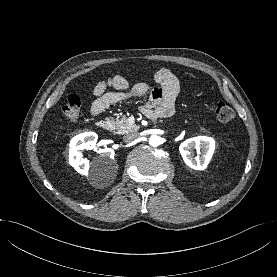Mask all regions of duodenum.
I'll use <instances>...</instances> for the list:
<instances>
[{"mask_svg":"<svg viewBox=\"0 0 277 277\" xmlns=\"http://www.w3.org/2000/svg\"><path fill=\"white\" fill-rule=\"evenodd\" d=\"M98 128L102 130H108L110 128V123L107 120L101 119L96 122Z\"/></svg>","mask_w":277,"mask_h":277,"instance_id":"duodenum-1","label":"duodenum"}]
</instances>
